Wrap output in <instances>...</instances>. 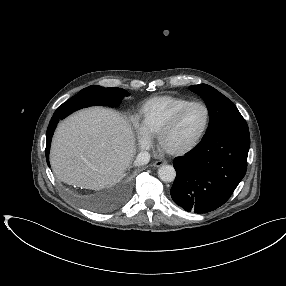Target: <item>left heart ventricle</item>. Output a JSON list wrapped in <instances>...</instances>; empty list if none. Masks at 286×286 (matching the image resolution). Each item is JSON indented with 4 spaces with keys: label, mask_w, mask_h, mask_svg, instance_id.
<instances>
[{
    "label": "left heart ventricle",
    "mask_w": 286,
    "mask_h": 286,
    "mask_svg": "<svg viewBox=\"0 0 286 286\" xmlns=\"http://www.w3.org/2000/svg\"><path fill=\"white\" fill-rule=\"evenodd\" d=\"M205 122V109L200 105L192 106L166 135L165 146L169 149H180L190 145L202 132Z\"/></svg>",
    "instance_id": "b2bd125f"
}]
</instances>
